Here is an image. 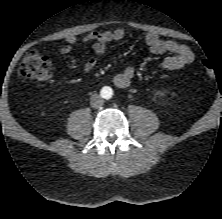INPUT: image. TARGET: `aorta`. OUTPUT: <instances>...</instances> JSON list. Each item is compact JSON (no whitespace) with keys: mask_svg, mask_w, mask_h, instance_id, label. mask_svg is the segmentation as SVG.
Listing matches in <instances>:
<instances>
[{"mask_svg":"<svg viewBox=\"0 0 222 219\" xmlns=\"http://www.w3.org/2000/svg\"><path fill=\"white\" fill-rule=\"evenodd\" d=\"M108 97H110L112 95V91L107 92Z\"/></svg>","mask_w":222,"mask_h":219,"instance_id":"aorta-1","label":"aorta"}]
</instances>
